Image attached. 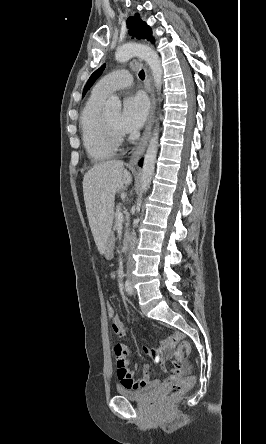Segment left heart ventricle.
<instances>
[{"label": "left heart ventricle", "mask_w": 266, "mask_h": 444, "mask_svg": "<svg viewBox=\"0 0 266 444\" xmlns=\"http://www.w3.org/2000/svg\"><path fill=\"white\" fill-rule=\"evenodd\" d=\"M106 118L109 121V123L111 124V126L117 132H122L120 127H119V119H120V114L119 113L108 114V115H106Z\"/></svg>", "instance_id": "b2bd125f"}]
</instances>
